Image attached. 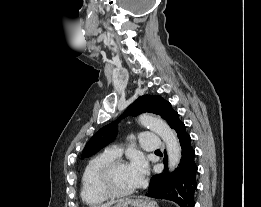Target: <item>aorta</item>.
I'll list each match as a JSON object with an SVG mask.
<instances>
[{
    "instance_id": "762f6f07",
    "label": "aorta",
    "mask_w": 261,
    "mask_h": 207,
    "mask_svg": "<svg viewBox=\"0 0 261 207\" xmlns=\"http://www.w3.org/2000/svg\"><path fill=\"white\" fill-rule=\"evenodd\" d=\"M138 121L141 125L158 134L164 141L168 154L169 170H174L181 160V146L176 133L165 121L149 114H141Z\"/></svg>"
}]
</instances>
